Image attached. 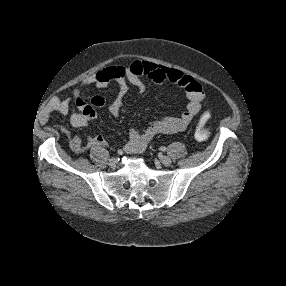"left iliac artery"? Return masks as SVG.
<instances>
[{
	"mask_svg": "<svg viewBox=\"0 0 286 286\" xmlns=\"http://www.w3.org/2000/svg\"><path fill=\"white\" fill-rule=\"evenodd\" d=\"M160 150H161V151H166V147L162 146V147L160 148Z\"/></svg>",
	"mask_w": 286,
	"mask_h": 286,
	"instance_id": "obj_1",
	"label": "left iliac artery"
}]
</instances>
